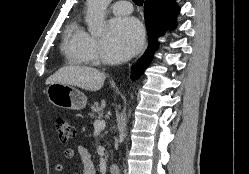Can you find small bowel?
I'll return each mask as SVG.
<instances>
[{"label":"small bowel","mask_w":249,"mask_h":174,"mask_svg":"<svg viewBox=\"0 0 249 174\" xmlns=\"http://www.w3.org/2000/svg\"><path fill=\"white\" fill-rule=\"evenodd\" d=\"M76 154L79 155L83 166V174H96L95 165L92 161L91 155L88 150L83 146H78L77 148H68L65 150V157L67 159H73ZM56 172L61 173L65 170L63 164H57L55 167Z\"/></svg>","instance_id":"obj_1"}]
</instances>
